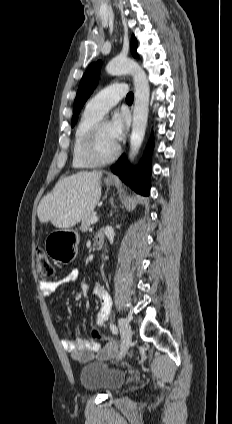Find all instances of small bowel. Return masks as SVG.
<instances>
[{
    "instance_id": "small-bowel-1",
    "label": "small bowel",
    "mask_w": 232,
    "mask_h": 424,
    "mask_svg": "<svg viewBox=\"0 0 232 424\" xmlns=\"http://www.w3.org/2000/svg\"><path fill=\"white\" fill-rule=\"evenodd\" d=\"M78 278L79 271L73 269L58 281H42L40 283V289L45 296H50L59 285L73 283L77 281ZM93 293L98 298L102 309L106 305L111 304L110 297L101 284H96L94 286ZM105 318L103 311H101L96 319V325L102 326ZM62 345L72 358L84 363L94 358L108 359L114 357L118 353V346L111 349L108 345L102 346L93 339L84 337H77L74 340L65 338L62 341Z\"/></svg>"
}]
</instances>
